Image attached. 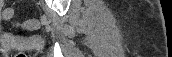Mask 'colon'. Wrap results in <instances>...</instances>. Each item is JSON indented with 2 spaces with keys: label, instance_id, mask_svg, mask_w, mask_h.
<instances>
[{
  "label": "colon",
  "instance_id": "5ec220e1",
  "mask_svg": "<svg viewBox=\"0 0 172 57\" xmlns=\"http://www.w3.org/2000/svg\"><path fill=\"white\" fill-rule=\"evenodd\" d=\"M14 14L15 12L12 8H5L2 12V16L5 19H12ZM17 26L19 28V33L21 35H25L29 31L37 29L39 27V22L37 20H30L21 24H17ZM16 57H26V55L23 51H19L16 53Z\"/></svg>",
  "mask_w": 172,
  "mask_h": 57
}]
</instances>
